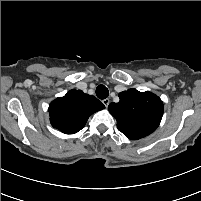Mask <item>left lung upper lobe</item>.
Masks as SVG:
<instances>
[{
  "label": "left lung upper lobe",
  "instance_id": "left-lung-upper-lobe-1",
  "mask_svg": "<svg viewBox=\"0 0 201 201\" xmlns=\"http://www.w3.org/2000/svg\"><path fill=\"white\" fill-rule=\"evenodd\" d=\"M120 101L108 106L117 128L127 138L138 140L154 132L163 115V102L151 92L129 89L119 93Z\"/></svg>",
  "mask_w": 201,
  "mask_h": 201
}]
</instances>
